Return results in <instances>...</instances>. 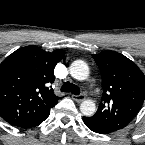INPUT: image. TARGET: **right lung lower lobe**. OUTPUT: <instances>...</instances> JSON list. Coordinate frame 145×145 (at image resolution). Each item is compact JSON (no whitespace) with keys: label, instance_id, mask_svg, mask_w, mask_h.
I'll use <instances>...</instances> for the list:
<instances>
[{"label":"right lung lower lobe","instance_id":"98d812e1","mask_svg":"<svg viewBox=\"0 0 145 145\" xmlns=\"http://www.w3.org/2000/svg\"><path fill=\"white\" fill-rule=\"evenodd\" d=\"M50 112L47 113L46 115L38 118V119H35L33 121H29V122H25V123H22L16 127L18 128H22V129H27V128H31V127H35V126H38L39 124H41L45 119L48 118Z\"/></svg>","mask_w":145,"mask_h":145}]
</instances>
